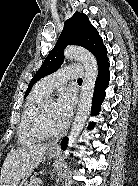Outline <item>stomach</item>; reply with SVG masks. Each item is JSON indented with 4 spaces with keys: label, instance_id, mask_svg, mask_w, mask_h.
<instances>
[{
    "label": "stomach",
    "instance_id": "stomach-1",
    "mask_svg": "<svg viewBox=\"0 0 138 186\" xmlns=\"http://www.w3.org/2000/svg\"><path fill=\"white\" fill-rule=\"evenodd\" d=\"M59 151L57 149H52V148H49L47 150V155L49 158H54L58 155ZM25 182V179L19 184V186H28L27 183H24ZM24 184V185H23Z\"/></svg>",
    "mask_w": 138,
    "mask_h": 186
}]
</instances>
